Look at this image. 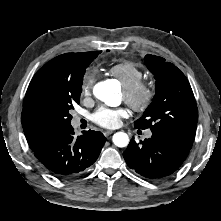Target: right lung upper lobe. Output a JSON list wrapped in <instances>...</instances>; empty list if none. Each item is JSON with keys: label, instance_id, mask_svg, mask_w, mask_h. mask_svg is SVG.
<instances>
[{"label": "right lung upper lobe", "instance_id": "1", "mask_svg": "<svg viewBox=\"0 0 221 221\" xmlns=\"http://www.w3.org/2000/svg\"><path fill=\"white\" fill-rule=\"evenodd\" d=\"M100 51L66 53L49 61L32 78L22 108V127L33 150L62 127L47 120L40 111L43 96L64 84L81 86L80 72L87 57ZM83 81V79H82Z\"/></svg>", "mask_w": 221, "mask_h": 221}]
</instances>
